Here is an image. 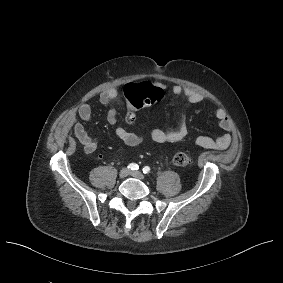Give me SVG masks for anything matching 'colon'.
<instances>
[{"instance_id":"5ec220e1","label":"colon","mask_w":283,"mask_h":283,"mask_svg":"<svg viewBox=\"0 0 283 283\" xmlns=\"http://www.w3.org/2000/svg\"><path fill=\"white\" fill-rule=\"evenodd\" d=\"M124 95L128 104L125 119L128 123H133L135 111L159 102L164 92L160 87L148 82H140L127 84L124 88ZM172 163L179 168L187 167L192 163V156L189 151H179L173 156Z\"/></svg>"}]
</instances>
